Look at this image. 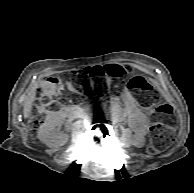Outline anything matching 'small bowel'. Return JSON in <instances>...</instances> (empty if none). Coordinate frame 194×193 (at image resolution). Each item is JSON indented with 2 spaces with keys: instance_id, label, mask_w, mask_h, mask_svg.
<instances>
[{
  "instance_id": "c3829d8e",
  "label": "small bowel",
  "mask_w": 194,
  "mask_h": 193,
  "mask_svg": "<svg viewBox=\"0 0 194 193\" xmlns=\"http://www.w3.org/2000/svg\"><path fill=\"white\" fill-rule=\"evenodd\" d=\"M122 98L125 104V111L129 118V123L138 135H144L147 131V116L139 107L137 101L129 91L124 90Z\"/></svg>"
}]
</instances>
